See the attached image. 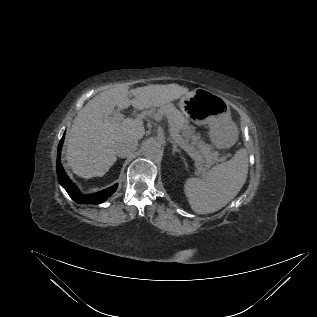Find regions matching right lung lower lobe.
<instances>
[{
  "instance_id": "right-lung-lower-lobe-1",
  "label": "right lung lower lobe",
  "mask_w": 317,
  "mask_h": 317,
  "mask_svg": "<svg viewBox=\"0 0 317 317\" xmlns=\"http://www.w3.org/2000/svg\"><path fill=\"white\" fill-rule=\"evenodd\" d=\"M65 135V133H64ZM64 135L62 139L60 140L59 146H58V152H57V176L60 184L63 186V188L67 191L69 196L77 203L80 204H99L105 201L108 197H110L117 189V184L102 190L98 193L91 194V195H83L79 192L77 186L69 179L67 174L64 171L63 166L60 163V154H61V148L64 141Z\"/></svg>"
}]
</instances>
